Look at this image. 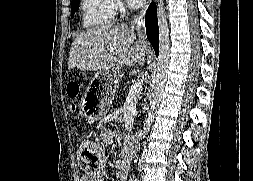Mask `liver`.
Here are the masks:
<instances>
[{"mask_svg": "<svg viewBox=\"0 0 253 181\" xmlns=\"http://www.w3.org/2000/svg\"><path fill=\"white\" fill-rule=\"evenodd\" d=\"M126 25H101L78 34L70 48L68 69L119 71L124 65L143 61L148 50L145 41Z\"/></svg>", "mask_w": 253, "mask_h": 181, "instance_id": "liver-1", "label": "liver"}]
</instances>
